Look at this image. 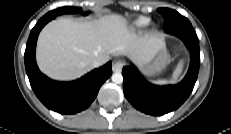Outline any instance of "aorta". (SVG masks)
I'll list each match as a JSON object with an SVG mask.
<instances>
[{"label":"aorta","instance_id":"obj_1","mask_svg":"<svg viewBox=\"0 0 231 134\" xmlns=\"http://www.w3.org/2000/svg\"><path fill=\"white\" fill-rule=\"evenodd\" d=\"M111 79L115 84H121L123 82V76L121 73H114Z\"/></svg>","mask_w":231,"mask_h":134}]
</instances>
